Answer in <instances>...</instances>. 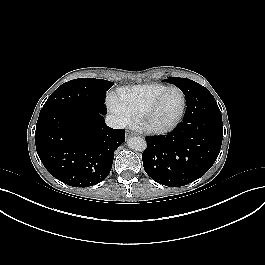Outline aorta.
Listing matches in <instances>:
<instances>
[{
  "label": "aorta",
  "mask_w": 265,
  "mask_h": 265,
  "mask_svg": "<svg viewBox=\"0 0 265 265\" xmlns=\"http://www.w3.org/2000/svg\"><path fill=\"white\" fill-rule=\"evenodd\" d=\"M127 145L130 149L135 150V151H144L147 149V143L145 139L141 137H131L127 141Z\"/></svg>",
  "instance_id": "762f6f07"
}]
</instances>
